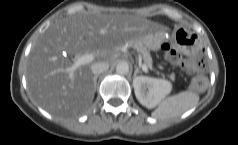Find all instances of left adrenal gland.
Masks as SVG:
<instances>
[{
  "mask_svg": "<svg viewBox=\"0 0 238 145\" xmlns=\"http://www.w3.org/2000/svg\"><path fill=\"white\" fill-rule=\"evenodd\" d=\"M138 73H142V70L139 69V67H138L137 65H135L134 78L136 77V75H137Z\"/></svg>",
  "mask_w": 238,
  "mask_h": 145,
  "instance_id": "left-adrenal-gland-1",
  "label": "left adrenal gland"
}]
</instances>
